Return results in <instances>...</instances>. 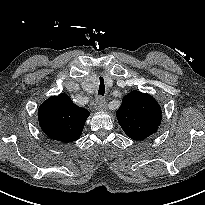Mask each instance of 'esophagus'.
Segmentation results:
<instances>
[{"mask_svg":"<svg viewBox=\"0 0 205 205\" xmlns=\"http://www.w3.org/2000/svg\"><path fill=\"white\" fill-rule=\"evenodd\" d=\"M107 102L103 97H99L95 102V109L98 111H102L106 109Z\"/></svg>","mask_w":205,"mask_h":205,"instance_id":"obj_1","label":"esophagus"}]
</instances>
